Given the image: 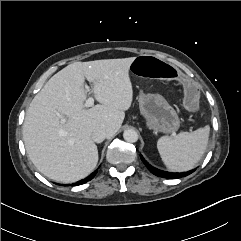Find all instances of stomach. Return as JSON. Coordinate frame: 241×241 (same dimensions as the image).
Masks as SVG:
<instances>
[{
	"label": "stomach",
	"instance_id": "0dacf381",
	"mask_svg": "<svg viewBox=\"0 0 241 241\" xmlns=\"http://www.w3.org/2000/svg\"><path fill=\"white\" fill-rule=\"evenodd\" d=\"M140 113L146 126L155 133H173L180 127V120L175 109L160 94L139 95Z\"/></svg>",
	"mask_w": 241,
	"mask_h": 241
}]
</instances>
